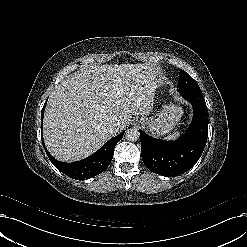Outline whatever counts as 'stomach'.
I'll return each mask as SVG.
<instances>
[{
  "label": "stomach",
  "mask_w": 247,
  "mask_h": 247,
  "mask_svg": "<svg viewBox=\"0 0 247 247\" xmlns=\"http://www.w3.org/2000/svg\"><path fill=\"white\" fill-rule=\"evenodd\" d=\"M183 108L179 104H167L154 117L139 119L141 125L155 137H160L171 132L183 116Z\"/></svg>",
  "instance_id": "0dacf381"
}]
</instances>
